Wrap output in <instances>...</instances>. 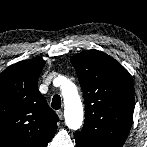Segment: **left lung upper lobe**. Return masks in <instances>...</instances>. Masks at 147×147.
<instances>
[{
	"label": "left lung upper lobe",
	"instance_id": "left-lung-upper-lobe-1",
	"mask_svg": "<svg viewBox=\"0 0 147 147\" xmlns=\"http://www.w3.org/2000/svg\"><path fill=\"white\" fill-rule=\"evenodd\" d=\"M84 95L86 118L74 137L77 147H122L134 111L129 72L111 56L87 50L70 59Z\"/></svg>",
	"mask_w": 147,
	"mask_h": 147
}]
</instances>
